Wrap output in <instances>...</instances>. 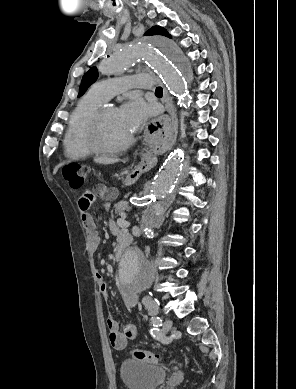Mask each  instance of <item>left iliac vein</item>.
Returning a JSON list of instances; mask_svg holds the SVG:
<instances>
[{"label":"left iliac vein","instance_id":"left-iliac-vein-1","mask_svg":"<svg viewBox=\"0 0 296 389\" xmlns=\"http://www.w3.org/2000/svg\"><path fill=\"white\" fill-rule=\"evenodd\" d=\"M172 328V321L169 319H166L163 323V332H168Z\"/></svg>","mask_w":296,"mask_h":389}]
</instances>
